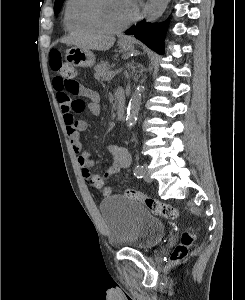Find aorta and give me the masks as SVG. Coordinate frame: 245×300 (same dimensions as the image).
<instances>
[{"instance_id": "762f6f07", "label": "aorta", "mask_w": 245, "mask_h": 300, "mask_svg": "<svg viewBox=\"0 0 245 300\" xmlns=\"http://www.w3.org/2000/svg\"><path fill=\"white\" fill-rule=\"evenodd\" d=\"M170 0H148L144 7V17L149 22L156 21L165 11ZM142 86H137L127 108V125L132 127L140 110Z\"/></svg>"}]
</instances>
